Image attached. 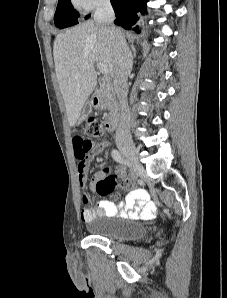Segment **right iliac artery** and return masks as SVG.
Listing matches in <instances>:
<instances>
[{"mask_svg": "<svg viewBox=\"0 0 227 298\" xmlns=\"http://www.w3.org/2000/svg\"><path fill=\"white\" fill-rule=\"evenodd\" d=\"M111 155L116 162L122 163V164L125 163L124 157L121 155V153L118 150L113 149L111 152Z\"/></svg>", "mask_w": 227, "mask_h": 298, "instance_id": "82829eb1", "label": "right iliac artery"}]
</instances>
